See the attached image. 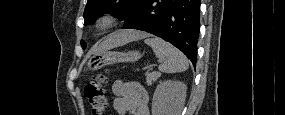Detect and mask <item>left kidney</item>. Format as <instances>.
Here are the masks:
<instances>
[{
    "instance_id": "left-kidney-1",
    "label": "left kidney",
    "mask_w": 285,
    "mask_h": 115,
    "mask_svg": "<svg viewBox=\"0 0 285 115\" xmlns=\"http://www.w3.org/2000/svg\"><path fill=\"white\" fill-rule=\"evenodd\" d=\"M187 86L180 81L160 82L152 98V115H180Z\"/></svg>"
}]
</instances>
